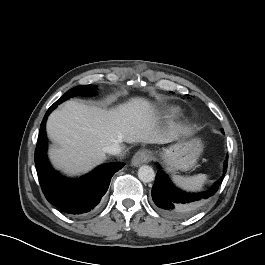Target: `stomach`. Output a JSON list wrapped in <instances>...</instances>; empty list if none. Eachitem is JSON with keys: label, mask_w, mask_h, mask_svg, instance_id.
Segmentation results:
<instances>
[{"label": "stomach", "mask_w": 265, "mask_h": 265, "mask_svg": "<svg viewBox=\"0 0 265 265\" xmlns=\"http://www.w3.org/2000/svg\"><path fill=\"white\" fill-rule=\"evenodd\" d=\"M203 151V143L198 138L188 141H181L171 145L162 153V160L165 168L170 172L191 171Z\"/></svg>", "instance_id": "obj_1"}]
</instances>
